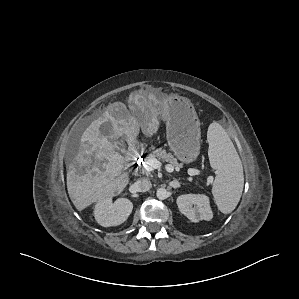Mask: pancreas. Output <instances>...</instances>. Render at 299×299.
<instances>
[{
  "instance_id": "1",
  "label": "pancreas",
  "mask_w": 299,
  "mask_h": 299,
  "mask_svg": "<svg viewBox=\"0 0 299 299\" xmlns=\"http://www.w3.org/2000/svg\"><path fill=\"white\" fill-rule=\"evenodd\" d=\"M157 158L158 160L161 161H166L170 163L173 167L175 168H180L182 167V164H180L177 159L171 154L166 152V150H162L161 148L155 149L151 148L149 154L145 158V163L147 164L148 160L150 158ZM141 171L143 174L150 175V171L146 170L143 166H140Z\"/></svg>"
}]
</instances>
